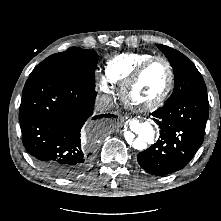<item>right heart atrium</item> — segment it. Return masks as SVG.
I'll list each match as a JSON object with an SVG mask.
<instances>
[{
	"instance_id": "right-heart-atrium-1",
	"label": "right heart atrium",
	"mask_w": 221,
	"mask_h": 221,
	"mask_svg": "<svg viewBox=\"0 0 221 221\" xmlns=\"http://www.w3.org/2000/svg\"><path fill=\"white\" fill-rule=\"evenodd\" d=\"M110 82L106 78H102L99 82V89L103 93H109L111 91Z\"/></svg>"
}]
</instances>
